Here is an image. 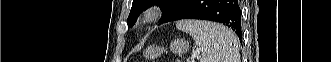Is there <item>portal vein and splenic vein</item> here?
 I'll return each mask as SVG.
<instances>
[{"instance_id":"18ae733b","label":"portal vein and splenic vein","mask_w":331,"mask_h":62,"mask_svg":"<svg viewBox=\"0 0 331 62\" xmlns=\"http://www.w3.org/2000/svg\"><path fill=\"white\" fill-rule=\"evenodd\" d=\"M200 51H201V49L199 48L194 52V54L192 55V58H191V62H194L195 57L197 56V54L200 53Z\"/></svg>"}]
</instances>
